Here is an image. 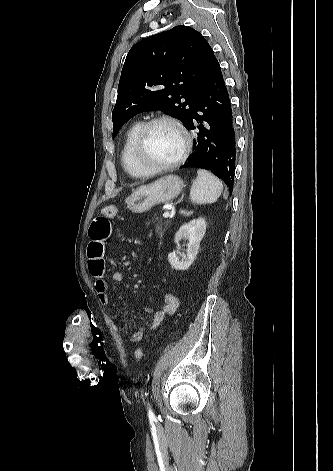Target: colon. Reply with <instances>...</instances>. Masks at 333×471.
Returning <instances> with one entry per match:
<instances>
[{
  "instance_id": "5ec220e1",
  "label": "colon",
  "mask_w": 333,
  "mask_h": 471,
  "mask_svg": "<svg viewBox=\"0 0 333 471\" xmlns=\"http://www.w3.org/2000/svg\"><path fill=\"white\" fill-rule=\"evenodd\" d=\"M117 214H118V209L116 206L108 205L102 208V215L108 218L116 217ZM134 356L137 360L141 359L143 356V350L141 348H137L135 350Z\"/></svg>"
}]
</instances>
